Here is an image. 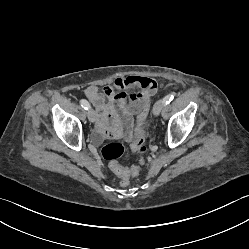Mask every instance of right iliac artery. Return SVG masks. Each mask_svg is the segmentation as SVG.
<instances>
[{"instance_id":"1","label":"right iliac artery","mask_w":249,"mask_h":249,"mask_svg":"<svg viewBox=\"0 0 249 249\" xmlns=\"http://www.w3.org/2000/svg\"><path fill=\"white\" fill-rule=\"evenodd\" d=\"M80 104L81 106L85 109V110H88L90 108V104L88 103L87 100L85 99H81L80 100Z\"/></svg>"}]
</instances>
